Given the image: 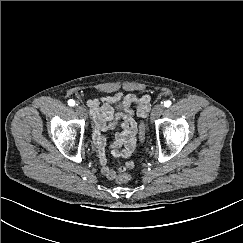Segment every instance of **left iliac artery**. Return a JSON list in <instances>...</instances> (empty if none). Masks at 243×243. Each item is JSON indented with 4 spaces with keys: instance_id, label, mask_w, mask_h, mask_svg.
Masks as SVG:
<instances>
[{
    "instance_id": "obj_1",
    "label": "left iliac artery",
    "mask_w": 243,
    "mask_h": 243,
    "mask_svg": "<svg viewBox=\"0 0 243 243\" xmlns=\"http://www.w3.org/2000/svg\"><path fill=\"white\" fill-rule=\"evenodd\" d=\"M171 105V101L170 100H167L164 102V106L165 107H169Z\"/></svg>"
}]
</instances>
